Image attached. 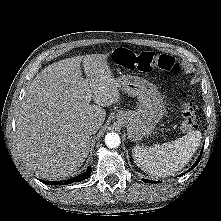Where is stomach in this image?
I'll return each instance as SVG.
<instances>
[{
  "label": "stomach",
  "mask_w": 221,
  "mask_h": 221,
  "mask_svg": "<svg viewBox=\"0 0 221 221\" xmlns=\"http://www.w3.org/2000/svg\"><path fill=\"white\" fill-rule=\"evenodd\" d=\"M119 89L136 97L135 110L119 111L117 121L127 129L128 138L139 141L150 135L165 113V106L157 88L147 80L130 74L116 78Z\"/></svg>",
  "instance_id": "obj_1"
}]
</instances>
